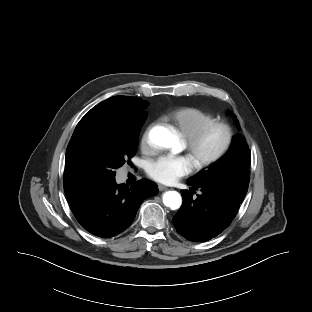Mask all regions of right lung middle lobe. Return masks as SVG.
Returning <instances> with one entry per match:
<instances>
[{"label": "right lung middle lobe", "mask_w": 312, "mask_h": 312, "mask_svg": "<svg viewBox=\"0 0 312 312\" xmlns=\"http://www.w3.org/2000/svg\"><path fill=\"white\" fill-rule=\"evenodd\" d=\"M146 119L144 110L135 114L87 112L67 147L64 187L91 193L115 180V169L135 155Z\"/></svg>", "instance_id": "dd1d6c3e"}]
</instances>
